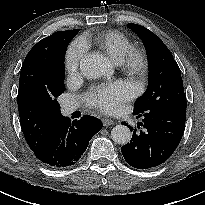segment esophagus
<instances>
[{
  "label": "esophagus",
  "mask_w": 205,
  "mask_h": 205,
  "mask_svg": "<svg viewBox=\"0 0 205 205\" xmlns=\"http://www.w3.org/2000/svg\"><path fill=\"white\" fill-rule=\"evenodd\" d=\"M103 126L113 125L115 122L107 117L101 119Z\"/></svg>",
  "instance_id": "34e87169"
}]
</instances>
